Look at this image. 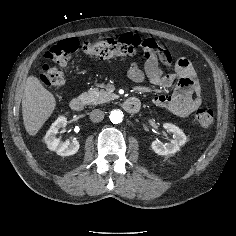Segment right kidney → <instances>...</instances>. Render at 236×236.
<instances>
[{"instance_id":"right-kidney-1","label":"right kidney","mask_w":236,"mask_h":236,"mask_svg":"<svg viewBox=\"0 0 236 236\" xmlns=\"http://www.w3.org/2000/svg\"><path fill=\"white\" fill-rule=\"evenodd\" d=\"M66 125L67 118L64 116L58 117L44 137L47 148L51 151H55L60 156L74 155L78 152L80 147L79 142L76 140H73L72 142L62 141L60 138L56 137L59 129Z\"/></svg>"}]
</instances>
